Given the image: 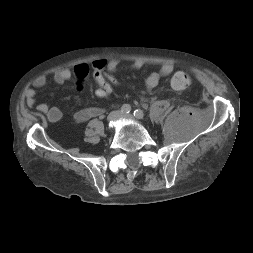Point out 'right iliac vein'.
Returning a JSON list of instances; mask_svg holds the SVG:
<instances>
[{
	"label": "right iliac vein",
	"mask_w": 253,
	"mask_h": 253,
	"mask_svg": "<svg viewBox=\"0 0 253 253\" xmlns=\"http://www.w3.org/2000/svg\"><path fill=\"white\" fill-rule=\"evenodd\" d=\"M121 116H122L121 112L113 111L108 115L107 119H108L109 122H113L116 119H119Z\"/></svg>",
	"instance_id": "obj_1"
}]
</instances>
